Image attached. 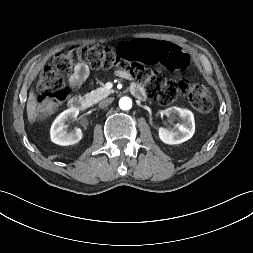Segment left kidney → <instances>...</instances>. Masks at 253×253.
I'll use <instances>...</instances> for the list:
<instances>
[{
	"mask_svg": "<svg viewBox=\"0 0 253 253\" xmlns=\"http://www.w3.org/2000/svg\"><path fill=\"white\" fill-rule=\"evenodd\" d=\"M166 115L178 116L182 122L177 131H169L166 128H159V138L169 145L180 144L189 140L195 132V121L193 113L188 109L170 107L163 111Z\"/></svg>",
	"mask_w": 253,
	"mask_h": 253,
	"instance_id": "obj_1",
	"label": "left kidney"
}]
</instances>
